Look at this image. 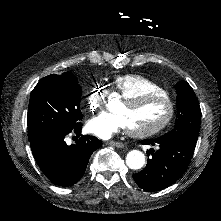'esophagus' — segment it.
<instances>
[{
  "instance_id": "obj_1",
  "label": "esophagus",
  "mask_w": 221,
  "mask_h": 221,
  "mask_svg": "<svg viewBox=\"0 0 221 221\" xmlns=\"http://www.w3.org/2000/svg\"><path fill=\"white\" fill-rule=\"evenodd\" d=\"M106 145L114 146V147H117V148H124V144L122 142H118V141H108L106 143Z\"/></svg>"
}]
</instances>
